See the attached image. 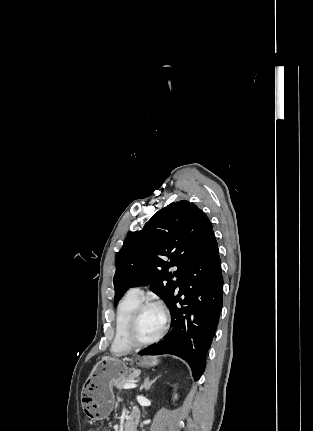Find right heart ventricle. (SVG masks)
<instances>
[{
  "label": "right heart ventricle",
  "mask_w": 313,
  "mask_h": 431,
  "mask_svg": "<svg viewBox=\"0 0 313 431\" xmlns=\"http://www.w3.org/2000/svg\"><path fill=\"white\" fill-rule=\"evenodd\" d=\"M139 303H141L140 298L128 293L118 303L115 315V334L112 342V350L116 353L128 352L133 348L126 340V330L131 314Z\"/></svg>",
  "instance_id": "e07e8e85"
}]
</instances>
